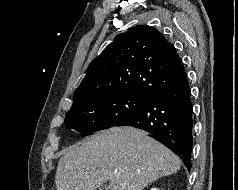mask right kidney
Returning <instances> with one entry per match:
<instances>
[{"instance_id": "right-kidney-1", "label": "right kidney", "mask_w": 238, "mask_h": 190, "mask_svg": "<svg viewBox=\"0 0 238 190\" xmlns=\"http://www.w3.org/2000/svg\"><path fill=\"white\" fill-rule=\"evenodd\" d=\"M151 190H159V189H157V188H152Z\"/></svg>"}]
</instances>
